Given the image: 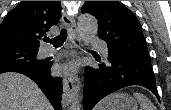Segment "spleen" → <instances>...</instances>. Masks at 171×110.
I'll list each match as a JSON object with an SVG mask.
<instances>
[{
	"label": "spleen",
	"mask_w": 171,
	"mask_h": 110,
	"mask_svg": "<svg viewBox=\"0 0 171 110\" xmlns=\"http://www.w3.org/2000/svg\"><path fill=\"white\" fill-rule=\"evenodd\" d=\"M134 97L137 99L140 105V110H157L156 106L151 102L149 98L141 93H134ZM103 106H101V102L98 104L96 110H101Z\"/></svg>",
	"instance_id": "1"
}]
</instances>
